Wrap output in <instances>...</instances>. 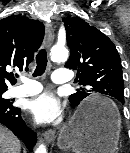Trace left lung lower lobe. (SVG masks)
<instances>
[{
    "label": "left lung lower lobe",
    "instance_id": "obj_1",
    "mask_svg": "<svg viewBox=\"0 0 130 153\" xmlns=\"http://www.w3.org/2000/svg\"><path fill=\"white\" fill-rule=\"evenodd\" d=\"M124 104V103H122ZM95 114V109H92V108H86L82 111V116L84 118H89L91 116H93Z\"/></svg>",
    "mask_w": 130,
    "mask_h": 153
}]
</instances>
